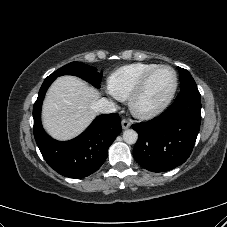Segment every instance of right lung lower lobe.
<instances>
[{"instance_id": "1", "label": "right lung lower lobe", "mask_w": 227, "mask_h": 227, "mask_svg": "<svg viewBox=\"0 0 227 227\" xmlns=\"http://www.w3.org/2000/svg\"><path fill=\"white\" fill-rule=\"evenodd\" d=\"M55 79H45L33 107L34 137L40 152L59 174L69 178H83L97 171L107 158L108 148L121 131L118 114L98 116L78 137L70 141H56L43 129L41 107L45 93Z\"/></svg>"}]
</instances>
